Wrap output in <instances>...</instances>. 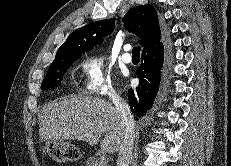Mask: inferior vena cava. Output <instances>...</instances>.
I'll return each instance as SVG.
<instances>
[{
  "instance_id": "1",
  "label": "inferior vena cava",
  "mask_w": 231,
  "mask_h": 166,
  "mask_svg": "<svg viewBox=\"0 0 231 166\" xmlns=\"http://www.w3.org/2000/svg\"><path fill=\"white\" fill-rule=\"evenodd\" d=\"M112 102L119 113L123 125V141L119 149L117 166H129L135 139V122L129 106L119 95H112Z\"/></svg>"
}]
</instances>
